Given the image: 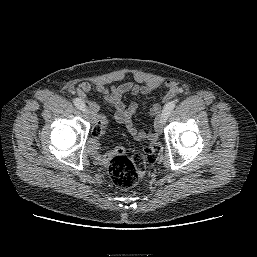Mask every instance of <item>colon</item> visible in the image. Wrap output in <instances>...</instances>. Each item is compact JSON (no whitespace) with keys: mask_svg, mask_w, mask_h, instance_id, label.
I'll return each mask as SVG.
<instances>
[{"mask_svg":"<svg viewBox=\"0 0 257 257\" xmlns=\"http://www.w3.org/2000/svg\"><path fill=\"white\" fill-rule=\"evenodd\" d=\"M103 133V128L96 125L93 128L92 135L94 139L90 143L91 149L96 153L98 149L99 138ZM160 152L158 142H153L146 150L136 152L132 155H126L123 147L115 148L110 154L109 173L114 185L121 189H127L135 186L143 177L148 165L155 162ZM102 159L101 157H99Z\"/></svg>","mask_w":257,"mask_h":257,"instance_id":"1","label":"colon"}]
</instances>
